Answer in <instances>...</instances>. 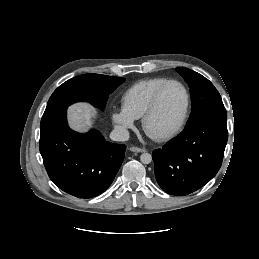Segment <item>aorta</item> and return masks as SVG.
Here are the masks:
<instances>
[{
    "label": "aorta",
    "instance_id": "obj_1",
    "mask_svg": "<svg viewBox=\"0 0 259 259\" xmlns=\"http://www.w3.org/2000/svg\"><path fill=\"white\" fill-rule=\"evenodd\" d=\"M140 161H141L143 164H149V163H151V161H152V156H151V154H149V153H143V154H141V156H140Z\"/></svg>",
    "mask_w": 259,
    "mask_h": 259
}]
</instances>
